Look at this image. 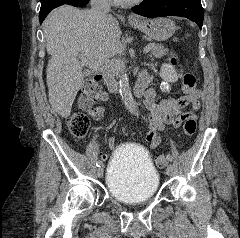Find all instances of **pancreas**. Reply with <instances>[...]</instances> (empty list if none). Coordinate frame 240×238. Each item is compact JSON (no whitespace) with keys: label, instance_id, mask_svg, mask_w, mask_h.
<instances>
[{"label":"pancreas","instance_id":"1","mask_svg":"<svg viewBox=\"0 0 240 238\" xmlns=\"http://www.w3.org/2000/svg\"><path fill=\"white\" fill-rule=\"evenodd\" d=\"M152 46L153 47L151 49V55L155 58H161L168 53V49L161 44L152 43ZM116 61L118 63L115 65V67L108 70L111 71V73H113L114 75H118V73L124 68V64L120 59H117Z\"/></svg>","mask_w":240,"mask_h":238}]
</instances>
